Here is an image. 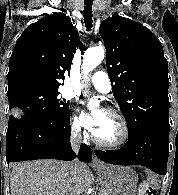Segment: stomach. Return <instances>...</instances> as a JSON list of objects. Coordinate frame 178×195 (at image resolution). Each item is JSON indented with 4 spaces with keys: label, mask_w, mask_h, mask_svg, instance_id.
<instances>
[{
    "label": "stomach",
    "mask_w": 178,
    "mask_h": 195,
    "mask_svg": "<svg viewBox=\"0 0 178 195\" xmlns=\"http://www.w3.org/2000/svg\"><path fill=\"white\" fill-rule=\"evenodd\" d=\"M103 195H136L138 176L130 167L102 166L97 169Z\"/></svg>",
    "instance_id": "1"
}]
</instances>
